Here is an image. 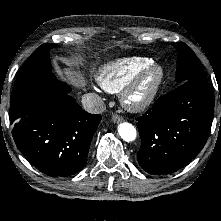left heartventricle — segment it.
<instances>
[{"instance_id": "left-heart-ventricle-1", "label": "left heart ventricle", "mask_w": 221, "mask_h": 221, "mask_svg": "<svg viewBox=\"0 0 221 221\" xmlns=\"http://www.w3.org/2000/svg\"><path fill=\"white\" fill-rule=\"evenodd\" d=\"M151 79H152V78H149V79H148V81H147L146 85H147V84H148V83L151 81ZM146 85H145V86H146Z\"/></svg>"}]
</instances>
